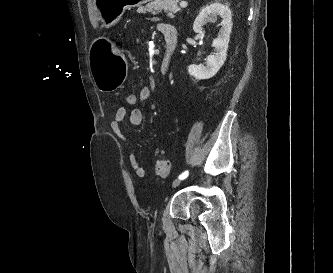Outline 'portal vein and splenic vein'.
Returning <instances> with one entry per match:
<instances>
[{
  "mask_svg": "<svg viewBox=\"0 0 333 273\" xmlns=\"http://www.w3.org/2000/svg\"><path fill=\"white\" fill-rule=\"evenodd\" d=\"M187 2H185V1H182L181 3H180V7H182V8H184V7H187Z\"/></svg>",
  "mask_w": 333,
  "mask_h": 273,
  "instance_id": "obj_1",
  "label": "portal vein and splenic vein"
}]
</instances>
